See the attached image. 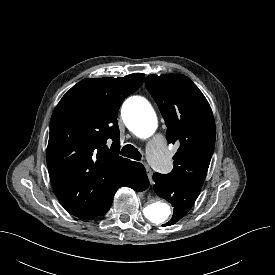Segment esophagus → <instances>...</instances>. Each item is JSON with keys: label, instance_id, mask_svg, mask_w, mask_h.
Returning a JSON list of instances; mask_svg holds the SVG:
<instances>
[{"label": "esophagus", "instance_id": "34e87169", "mask_svg": "<svg viewBox=\"0 0 275 275\" xmlns=\"http://www.w3.org/2000/svg\"><path fill=\"white\" fill-rule=\"evenodd\" d=\"M144 166H145V169H146V173H147V176L149 178V180L151 181L152 180V170L150 169V167L144 163Z\"/></svg>", "mask_w": 275, "mask_h": 275}]
</instances>
